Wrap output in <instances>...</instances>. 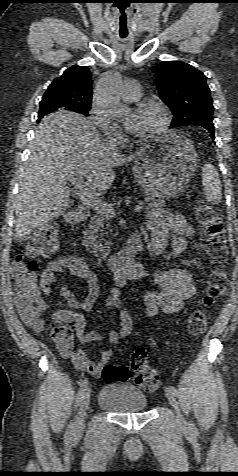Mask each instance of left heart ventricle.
<instances>
[{"mask_svg": "<svg viewBox=\"0 0 238 476\" xmlns=\"http://www.w3.org/2000/svg\"><path fill=\"white\" fill-rule=\"evenodd\" d=\"M133 116L138 117V121L133 132L140 137H143L156 129L162 120L160 111L154 107L139 109L136 112L129 114L127 120Z\"/></svg>", "mask_w": 238, "mask_h": 476, "instance_id": "obj_1", "label": "left heart ventricle"}]
</instances>
